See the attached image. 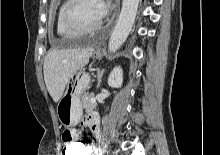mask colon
<instances>
[{"instance_id": "colon-1", "label": "colon", "mask_w": 220, "mask_h": 155, "mask_svg": "<svg viewBox=\"0 0 220 155\" xmlns=\"http://www.w3.org/2000/svg\"><path fill=\"white\" fill-rule=\"evenodd\" d=\"M87 142H81L80 139L76 141H65V146H61V155H84Z\"/></svg>"}]
</instances>
